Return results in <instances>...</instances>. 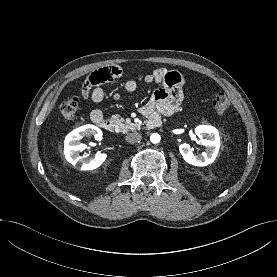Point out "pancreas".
<instances>
[{
    "instance_id": "pancreas-1",
    "label": "pancreas",
    "mask_w": 277,
    "mask_h": 277,
    "mask_svg": "<svg viewBox=\"0 0 277 277\" xmlns=\"http://www.w3.org/2000/svg\"><path fill=\"white\" fill-rule=\"evenodd\" d=\"M111 121L115 124V128L119 132L126 133L128 131H132V130L139 128V125L126 121L124 118H122L118 114L112 115Z\"/></svg>"
}]
</instances>
